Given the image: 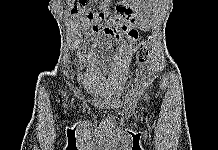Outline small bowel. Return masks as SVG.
Wrapping results in <instances>:
<instances>
[{"mask_svg":"<svg viewBox=\"0 0 218 150\" xmlns=\"http://www.w3.org/2000/svg\"><path fill=\"white\" fill-rule=\"evenodd\" d=\"M99 0H86L73 11V30L77 33L89 29L96 33L120 38L136 32V23L146 28L155 0H125L115 11H111L114 0H100L98 10L92 5ZM84 16V17H81ZM107 20V21H106Z\"/></svg>","mask_w":218,"mask_h":150,"instance_id":"1","label":"small bowel"}]
</instances>
